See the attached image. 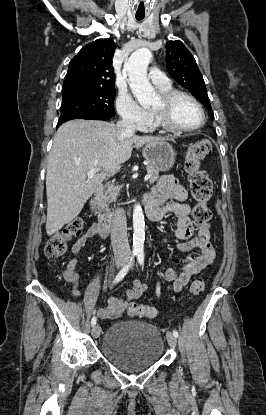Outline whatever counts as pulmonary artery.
Instances as JSON below:
<instances>
[{
  "label": "pulmonary artery",
  "instance_id": "obj_1",
  "mask_svg": "<svg viewBox=\"0 0 266 415\" xmlns=\"http://www.w3.org/2000/svg\"><path fill=\"white\" fill-rule=\"evenodd\" d=\"M149 77L153 84L157 87L167 86L170 84L169 79L165 76V74L156 68H152L150 70Z\"/></svg>",
  "mask_w": 266,
  "mask_h": 415
}]
</instances>
